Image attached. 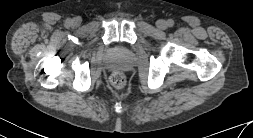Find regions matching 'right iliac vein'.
I'll use <instances>...</instances> for the list:
<instances>
[{"mask_svg":"<svg viewBox=\"0 0 253 138\" xmlns=\"http://www.w3.org/2000/svg\"><path fill=\"white\" fill-rule=\"evenodd\" d=\"M79 22H80V20H79L78 18L73 19V20L71 21L72 25H74V26L79 25Z\"/></svg>","mask_w":253,"mask_h":138,"instance_id":"63e3f726","label":"right iliac vein"}]
</instances>
